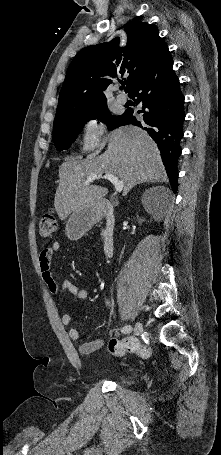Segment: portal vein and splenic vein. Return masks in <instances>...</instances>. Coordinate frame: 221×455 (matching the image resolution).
<instances>
[{"instance_id":"1","label":"portal vein and splenic vein","mask_w":221,"mask_h":455,"mask_svg":"<svg viewBox=\"0 0 221 455\" xmlns=\"http://www.w3.org/2000/svg\"><path fill=\"white\" fill-rule=\"evenodd\" d=\"M98 179H106L110 181L114 187L116 192L120 193L123 190L124 187V182L119 180L118 177L112 174H90L87 176V181H93V180H98Z\"/></svg>"}]
</instances>
